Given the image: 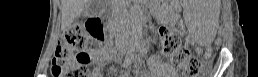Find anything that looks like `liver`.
<instances>
[{"label": "liver", "instance_id": "1", "mask_svg": "<svg viewBox=\"0 0 258 77\" xmlns=\"http://www.w3.org/2000/svg\"><path fill=\"white\" fill-rule=\"evenodd\" d=\"M90 0H61L62 28L69 27L74 19L79 16Z\"/></svg>", "mask_w": 258, "mask_h": 77}]
</instances>
